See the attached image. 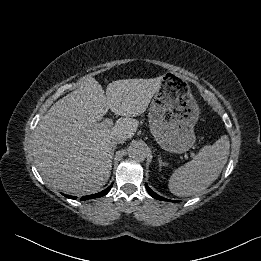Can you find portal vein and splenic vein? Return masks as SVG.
Listing matches in <instances>:
<instances>
[{
  "label": "portal vein and splenic vein",
  "instance_id": "portal-vein-and-splenic-vein-1",
  "mask_svg": "<svg viewBox=\"0 0 261 261\" xmlns=\"http://www.w3.org/2000/svg\"><path fill=\"white\" fill-rule=\"evenodd\" d=\"M112 126H113V120L109 119V118L105 119L103 122L95 124V128H106V127H112ZM190 156L192 158L196 157L194 152H190Z\"/></svg>",
  "mask_w": 261,
  "mask_h": 261
}]
</instances>
